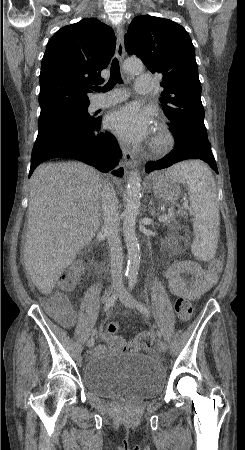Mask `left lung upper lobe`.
Masks as SVG:
<instances>
[{
    "label": "left lung upper lobe",
    "instance_id": "5c2ea615",
    "mask_svg": "<svg viewBox=\"0 0 245 450\" xmlns=\"http://www.w3.org/2000/svg\"><path fill=\"white\" fill-rule=\"evenodd\" d=\"M127 52L139 57L152 73L163 75L160 101L172 122L178 146L209 145L201 102V83L188 32L179 24L154 16H138L125 34Z\"/></svg>",
    "mask_w": 245,
    "mask_h": 450
}]
</instances>
